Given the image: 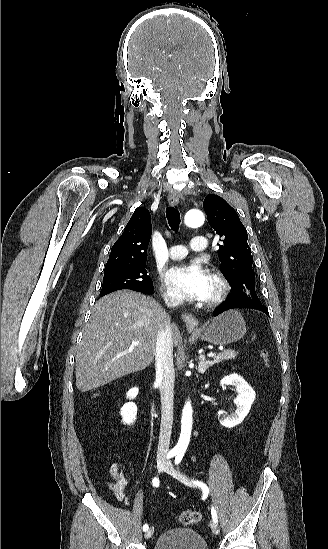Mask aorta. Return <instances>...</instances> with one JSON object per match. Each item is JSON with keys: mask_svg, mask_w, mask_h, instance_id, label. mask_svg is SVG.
Masks as SVG:
<instances>
[{"mask_svg": "<svg viewBox=\"0 0 328 549\" xmlns=\"http://www.w3.org/2000/svg\"><path fill=\"white\" fill-rule=\"evenodd\" d=\"M204 215L200 210H189L184 217V223L191 228L200 227L204 223ZM192 429V406L191 402L187 401L182 411L181 433L176 450L185 451L189 444Z\"/></svg>", "mask_w": 328, "mask_h": 549, "instance_id": "aorta-1", "label": "aorta"}]
</instances>
